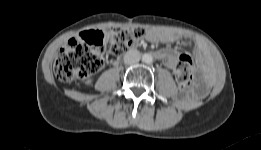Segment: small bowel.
Wrapping results in <instances>:
<instances>
[{"label":"small bowel","instance_id":"1","mask_svg":"<svg viewBox=\"0 0 261 150\" xmlns=\"http://www.w3.org/2000/svg\"><path fill=\"white\" fill-rule=\"evenodd\" d=\"M146 39L153 43H182L184 45L191 46L194 50L196 57L201 62L203 68L209 72V58L205 47L201 43L185 38L178 33L159 29H149L146 32ZM175 55L176 54L169 49H163L155 53V56L159 59H162L164 63L168 58L173 57Z\"/></svg>","mask_w":261,"mask_h":150}]
</instances>
